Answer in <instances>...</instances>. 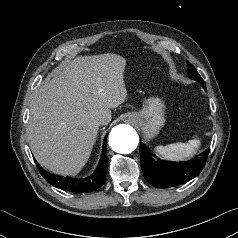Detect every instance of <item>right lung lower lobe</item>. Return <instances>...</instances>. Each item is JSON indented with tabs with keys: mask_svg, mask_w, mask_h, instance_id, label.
Masks as SVG:
<instances>
[{
	"mask_svg": "<svg viewBox=\"0 0 238 238\" xmlns=\"http://www.w3.org/2000/svg\"><path fill=\"white\" fill-rule=\"evenodd\" d=\"M106 138L107 136L105 137V140H104L103 152H102L99 165L97 166L96 171L87 178L75 179V178L50 174L49 172L45 171L37 163L35 159L34 160L41 175L51 185L59 189L67 190L70 192L89 193L96 190L97 188L105 184L106 182V173L108 169V156L106 153Z\"/></svg>",
	"mask_w": 238,
	"mask_h": 238,
	"instance_id": "obj_1",
	"label": "right lung lower lobe"
}]
</instances>
